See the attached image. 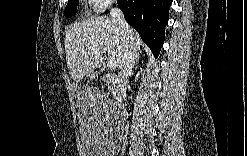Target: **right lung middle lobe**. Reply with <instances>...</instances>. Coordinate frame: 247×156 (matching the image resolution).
<instances>
[{
	"instance_id": "right-lung-middle-lobe-1",
	"label": "right lung middle lobe",
	"mask_w": 247,
	"mask_h": 156,
	"mask_svg": "<svg viewBox=\"0 0 247 156\" xmlns=\"http://www.w3.org/2000/svg\"><path fill=\"white\" fill-rule=\"evenodd\" d=\"M77 4H78V0H71V1L68 2L67 6L65 8V12H64V15L67 18L75 15Z\"/></svg>"
}]
</instances>
